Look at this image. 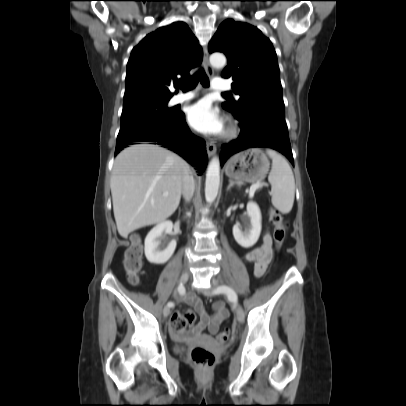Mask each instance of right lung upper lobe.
Here are the masks:
<instances>
[{"instance_id": "right-lung-upper-lobe-1", "label": "right lung upper lobe", "mask_w": 406, "mask_h": 406, "mask_svg": "<svg viewBox=\"0 0 406 406\" xmlns=\"http://www.w3.org/2000/svg\"><path fill=\"white\" fill-rule=\"evenodd\" d=\"M203 51L184 22L148 34L131 52L125 79L124 106L143 100L170 99L169 87L201 64Z\"/></svg>"}]
</instances>
